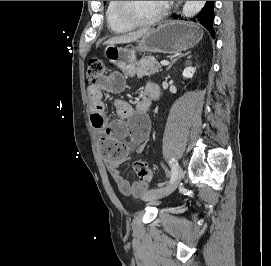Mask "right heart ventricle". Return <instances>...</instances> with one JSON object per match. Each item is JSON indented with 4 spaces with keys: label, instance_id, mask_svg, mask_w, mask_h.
<instances>
[{
    "label": "right heart ventricle",
    "instance_id": "1",
    "mask_svg": "<svg viewBox=\"0 0 271 266\" xmlns=\"http://www.w3.org/2000/svg\"><path fill=\"white\" fill-rule=\"evenodd\" d=\"M106 22L114 33H126L132 30L133 26L124 22L117 13V1H108L105 10Z\"/></svg>",
    "mask_w": 271,
    "mask_h": 266
}]
</instances>
